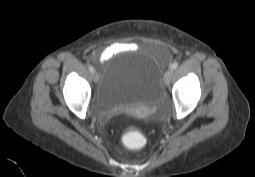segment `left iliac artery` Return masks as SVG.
<instances>
[{
    "label": "left iliac artery",
    "instance_id": "1",
    "mask_svg": "<svg viewBox=\"0 0 255 177\" xmlns=\"http://www.w3.org/2000/svg\"><path fill=\"white\" fill-rule=\"evenodd\" d=\"M177 67H178V63H177V62H174V63L171 65V69H172V70H175Z\"/></svg>",
    "mask_w": 255,
    "mask_h": 177
}]
</instances>
